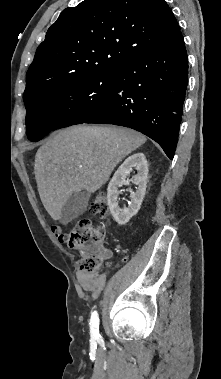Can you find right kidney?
Listing matches in <instances>:
<instances>
[{"instance_id":"1","label":"right kidney","mask_w":221,"mask_h":379,"mask_svg":"<svg viewBox=\"0 0 221 379\" xmlns=\"http://www.w3.org/2000/svg\"><path fill=\"white\" fill-rule=\"evenodd\" d=\"M132 168H135L138 173L132 180H129L128 177ZM147 177L148 163L145 155L141 152L129 156L114 173L108 185L107 201L110 212L119 225H125L139 211L145 196ZM130 181L138 186L137 190L130 194L131 201L128 207L120 208L118 204V195L120 193L118 187L123 184H129Z\"/></svg>"}]
</instances>
